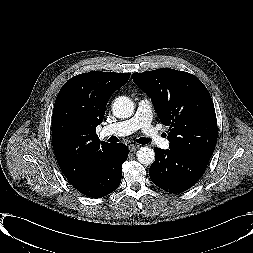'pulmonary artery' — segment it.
<instances>
[{"label": "pulmonary artery", "mask_w": 253, "mask_h": 253, "mask_svg": "<svg viewBox=\"0 0 253 253\" xmlns=\"http://www.w3.org/2000/svg\"><path fill=\"white\" fill-rule=\"evenodd\" d=\"M137 130H141L144 137L154 145L166 150L170 148V139L163 138L152 125L151 102L147 98L139 101L133 117L105 127L102 134L130 135Z\"/></svg>", "instance_id": "1"}]
</instances>
